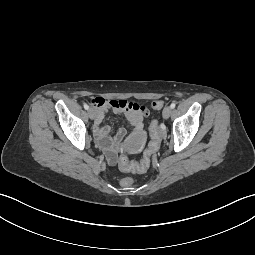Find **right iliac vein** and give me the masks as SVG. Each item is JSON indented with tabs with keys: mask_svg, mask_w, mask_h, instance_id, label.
<instances>
[{
	"mask_svg": "<svg viewBox=\"0 0 255 255\" xmlns=\"http://www.w3.org/2000/svg\"><path fill=\"white\" fill-rule=\"evenodd\" d=\"M88 116H89V118H90L91 120L94 119V117H95V111H94L93 108H89V109H88Z\"/></svg>",
	"mask_w": 255,
	"mask_h": 255,
	"instance_id": "1",
	"label": "right iliac vein"
}]
</instances>
